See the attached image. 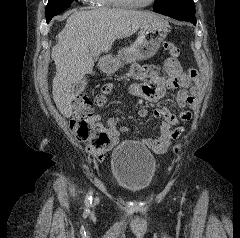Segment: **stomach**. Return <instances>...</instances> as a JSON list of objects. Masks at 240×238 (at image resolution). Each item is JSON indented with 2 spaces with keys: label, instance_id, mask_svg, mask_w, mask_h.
Here are the masks:
<instances>
[{
  "label": "stomach",
  "instance_id": "1",
  "mask_svg": "<svg viewBox=\"0 0 240 238\" xmlns=\"http://www.w3.org/2000/svg\"><path fill=\"white\" fill-rule=\"evenodd\" d=\"M169 25L165 21L143 27L137 40L127 49H124L123 56L127 63L135 60L148 59L153 57L160 48L161 42L166 38ZM107 61L101 60L99 66L105 73H112L120 66L119 57Z\"/></svg>",
  "mask_w": 240,
  "mask_h": 238
}]
</instances>
